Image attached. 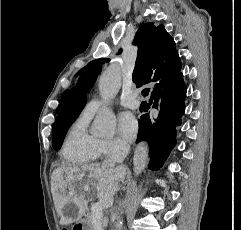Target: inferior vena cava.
Returning <instances> with one entry per match:
<instances>
[{"mask_svg":"<svg viewBox=\"0 0 241 230\" xmlns=\"http://www.w3.org/2000/svg\"><path fill=\"white\" fill-rule=\"evenodd\" d=\"M130 147L128 144H120L118 150L110 155L104 162L103 165L108 167H115L116 163L120 162L123 157L128 153Z\"/></svg>","mask_w":241,"mask_h":230,"instance_id":"602c4592","label":"inferior vena cava"}]
</instances>
